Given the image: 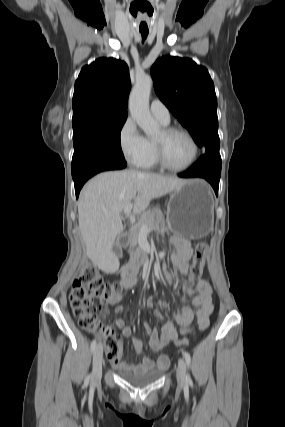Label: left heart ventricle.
Listing matches in <instances>:
<instances>
[{"label":"left heart ventricle","mask_w":285,"mask_h":427,"mask_svg":"<svg viewBox=\"0 0 285 427\" xmlns=\"http://www.w3.org/2000/svg\"><path fill=\"white\" fill-rule=\"evenodd\" d=\"M155 140L163 141L166 160L172 166H184L190 161L193 155V146L190 140L181 133L163 138L161 131Z\"/></svg>","instance_id":"obj_1"}]
</instances>
